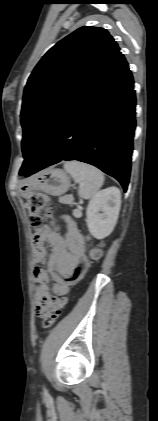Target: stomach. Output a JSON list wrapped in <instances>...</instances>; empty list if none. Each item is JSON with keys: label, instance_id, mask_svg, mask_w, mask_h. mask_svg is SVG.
<instances>
[{"label": "stomach", "instance_id": "0dacf381", "mask_svg": "<svg viewBox=\"0 0 158 421\" xmlns=\"http://www.w3.org/2000/svg\"><path fill=\"white\" fill-rule=\"evenodd\" d=\"M70 185V177L63 170L50 168L30 180L22 193L27 195L34 191H41L60 196L68 191Z\"/></svg>", "mask_w": 158, "mask_h": 421}]
</instances>
